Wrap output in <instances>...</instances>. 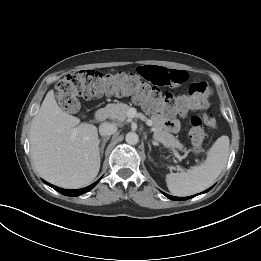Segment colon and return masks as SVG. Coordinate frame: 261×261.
I'll list each match as a JSON object with an SVG mask.
<instances>
[{"label":"colon","mask_w":261,"mask_h":261,"mask_svg":"<svg viewBox=\"0 0 261 261\" xmlns=\"http://www.w3.org/2000/svg\"><path fill=\"white\" fill-rule=\"evenodd\" d=\"M210 85L203 80L192 82L187 94L162 92L144 82L138 75L116 71L112 73L97 70H79L67 74L56 86L59 105L74 113L80 108L79 98L92 99L103 96H132L143 103L150 112L166 115H182L192 110L201 113L191 119L189 136L197 150L205 138L203 126L216 128L217 121L210 112Z\"/></svg>","instance_id":"colon-1"}]
</instances>
